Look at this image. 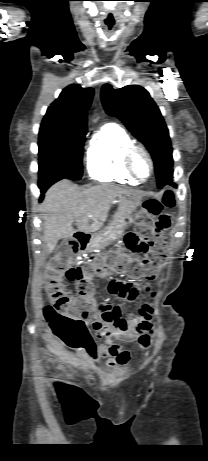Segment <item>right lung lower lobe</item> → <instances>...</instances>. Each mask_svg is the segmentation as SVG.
I'll list each match as a JSON object with an SVG mask.
<instances>
[{"instance_id": "1", "label": "right lung lower lobe", "mask_w": 208, "mask_h": 461, "mask_svg": "<svg viewBox=\"0 0 208 461\" xmlns=\"http://www.w3.org/2000/svg\"><path fill=\"white\" fill-rule=\"evenodd\" d=\"M59 180H61V179H54V180H52V181H50V182H47V183H45V184L39 186L40 191H41L40 200H42L45 191H46L51 185H53L55 182H57V181H59Z\"/></svg>"}]
</instances>
